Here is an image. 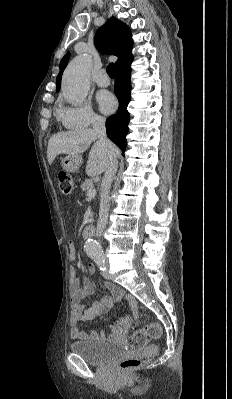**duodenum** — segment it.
<instances>
[{
    "mask_svg": "<svg viewBox=\"0 0 232 399\" xmlns=\"http://www.w3.org/2000/svg\"><path fill=\"white\" fill-rule=\"evenodd\" d=\"M94 228L90 225H86L83 228V234L86 238H91L94 235Z\"/></svg>",
    "mask_w": 232,
    "mask_h": 399,
    "instance_id": "1",
    "label": "duodenum"
}]
</instances>
